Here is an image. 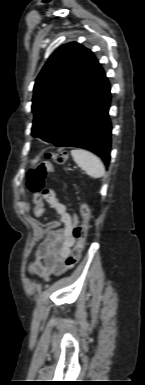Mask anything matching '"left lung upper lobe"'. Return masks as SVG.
Returning <instances> with one entry per match:
<instances>
[{
  "instance_id": "left-lung-upper-lobe-1",
  "label": "left lung upper lobe",
  "mask_w": 145,
  "mask_h": 385,
  "mask_svg": "<svg viewBox=\"0 0 145 385\" xmlns=\"http://www.w3.org/2000/svg\"><path fill=\"white\" fill-rule=\"evenodd\" d=\"M97 60L78 43L59 47L38 75L32 103V135L50 142L90 81Z\"/></svg>"
}]
</instances>
